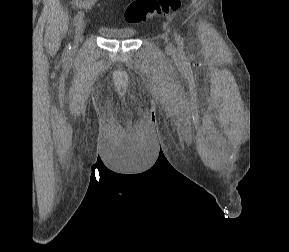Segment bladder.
Returning a JSON list of instances; mask_svg holds the SVG:
<instances>
[{"instance_id":"bladder-1","label":"bladder","mask_w":289,"mask_h":252,"mask_svg":"<svg viewBox=\"0 0 289 252\" xmlns=\"http://www.w3.org/2000/svg\"><path fill=\"white\" fill-rule=\"evenodd\" d=\"M101 36L108 39L126 40L135 36V31L131 28H113L101 26L98 28Z\"/></svg>"}]
</instances>
